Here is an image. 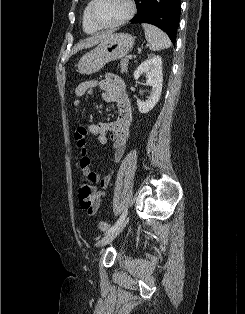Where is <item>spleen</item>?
<instances>
[{
    "label": "spleen",
    "mask_w": 245,
    "mask_h": 314,
    "mask_svg": "<svg viewBox=\"0 0 245 314\" xmlns=\"http://www.w3.org/2000/svg\"><path fill=\"white\" fill-rule=\"evenodd\" d=\"M145 38L149 43V49L151 51H159L162 49H167L171 46V41L161 29L154 25L143 23Z\"/></svg>",
    "instance_id": "1"
}]
</instances>
